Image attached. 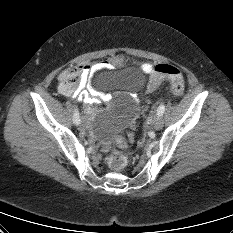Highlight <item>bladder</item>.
I'll return each instance as SVG.
<instances>
[{"label": "bladder", "instance_id": "bladder-1", "mask_svg": "<svg viewBox=\"0 0 233 233\" xmlns=\"http://www.w3.org/2000/svg\"><path fill=\"white\" fill-rule=\"evenodd\" d=\"M144 74L138 69L129 68L119 72H105L97 77L102 86L135 91L143 87ZM137 114V105L132 100L111 106L105 112L95 115L90 126L91 132L100 139L111 137L128 127Z\"/></svg>", "mask_w": 233, "mask_h": 233}]
</instances>
